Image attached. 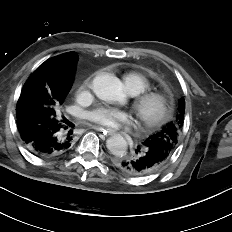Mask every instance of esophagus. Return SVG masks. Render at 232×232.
I'll use <instances>...</instances> for the list:
<instances>
[{"instance_id":"obj_1","label":"esophagus","mask_w":232,"mask_h":232,"mask_svg":"<svg viewBox=\"0 0 232 232\" xmlns=\"http://www.w3.org/2000/svg\"><path fill=\"white\" fill-rule=\"evenodd\" d=\"M93 129H95L96 131H99L101 133H103L104 135H111L114 133V131L112 130H108V129H105L103 127H99V126H94Z\"/></svg>"}]
</instances>
